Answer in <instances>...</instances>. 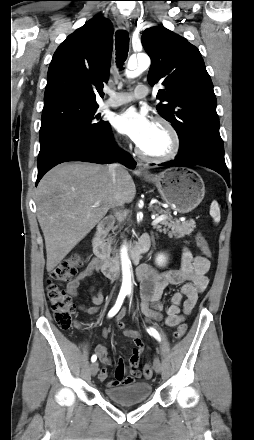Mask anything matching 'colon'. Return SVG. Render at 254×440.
<instances>
[{
    "instance_id": "1",
    "label": "colon",
    "mask_w": 254,
    "mask_h": 440,
    "mask_svg": "<svg viewBox=\"0 0 254 440\" xmlns=\"http://www.w3.org/2000/svg\"><path fill=\"white\" fill-rule=\"evenodd\" d=\"M195 241L201 252L209 258L211 256V249L207 239L201 233H197ZM82 263V255L75 253L58 263L49 273L47 295L53 312L54 321L62 330H69L73 327V313L75 306L71 301L69 294L59 283L73 277ZM186 331L187 325L185 323L179 324L173 334L174 339L181 340L186 334ZM143 374L146 378L152 377L153 370L149 364L144 367Z\"/></svg>"
}]
</instances>
